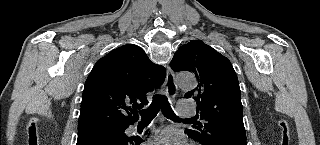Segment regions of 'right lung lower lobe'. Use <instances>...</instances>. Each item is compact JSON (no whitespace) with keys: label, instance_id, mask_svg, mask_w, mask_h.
Here are the masks:
<instances>
[{"label":"right lung lower lobe","instance_id":"1","mask_svg":"<svg viewBox=\"0 0 320 145\" xmlns=\"http://www.w3.org/2000/svg\"><path fill=\"white\" fill-rule=\"evenodd\" d=\"M113 128L89 129L78 132L77 145H140L138 137H128L124 131L128 126Z\"/></svg>","mask_w":320,"mask_h":145}]
</instances>
